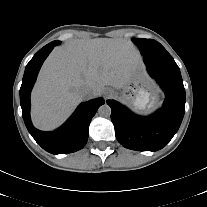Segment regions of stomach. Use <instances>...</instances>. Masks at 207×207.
<instances>
[{"label": "stomach", "instance_id": "1", "mask_svg": "<svg viewBox=\"0 0 207 207\" xmlns=\"http://www.w3.org/2000/svg\"><path fill=\"white\" fill-rule=\"evenodd\" d=\"M138 79L139 74L136 66L127 84L122 88V91L116 93V95H122L126 97V99L131 100L135 109L138 111H150L158 104L160 100L159 93L155 90L148 91L140 87Z\"/></svg>", "mask_w": 207, "mask_h": 207}]
</instances>
